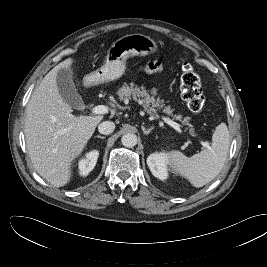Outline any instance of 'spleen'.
<instances>
[{
  "mask_svg": "<svg viewBox=\"0 0 267 267\" xmlns=\"http://www.w3.org/2000/svg\"><path fill=\"white\" fill-rule=\"evenodd\" d=\"M230 137L227 125L219 124L213 135L212 145L193 155L185 156L180 151L168 153V163L175 174L185 177L199 188L212 181L222 170L227 159Z\"/></svg>",
  "mask_w": 267,
  "mask_h": 267,
  "instance_id": "obj_1",
  "label": "spleen"
}]
</instances>
